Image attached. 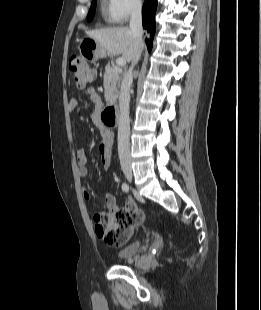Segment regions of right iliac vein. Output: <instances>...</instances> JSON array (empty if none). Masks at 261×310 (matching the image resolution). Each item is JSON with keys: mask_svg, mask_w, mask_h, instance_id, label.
I'll list each match as a JSON object with an SVG mask.
<instances>
[{"mask_svg": "<svg viewBox=\"0 0 261 310\" xmlns=\"http://www.w3.org/2000/svg\"><path fill=\"white\" fill-rule=\"evenodd\" d=\"M124 175L127 178L128 181H132L133 179V174H132V170L130 168H125L124 169Z\"/></svg>", "mask_w": 261, "mask_h": 310, "instance_id": "1", "label": "right iliac vein"}]
</instances>
